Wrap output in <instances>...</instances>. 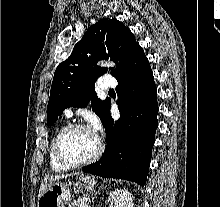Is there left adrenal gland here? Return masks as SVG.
<instances>
[{
  "label": "left adrenal gland",
  "instance_id": "obj_1",
  "mask_svg": "<svg viewBox=\"0 0 220 207\" xmlns=\"http://www.w3.org/2000/svg\"><path fill=\"white\" fill-rule=\"evenodd\" d=\"M98 193H99V191H96V192H95V197L98 195Z\"/></svg>",
  "mask_w": 220,
  "mask_h": 207
}]
</instances>
